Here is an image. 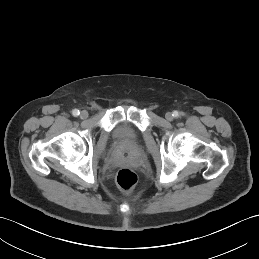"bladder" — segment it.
Listing matches in <instances>:
<instances>
[{"label":"bladder","instance_id":"obj_1","mask_svg":"<svg viewBox=\"0 0 259 259\" xmlns=\"http://www.w3.org/2000/svg\"><path fill=\"white\" fill-rule=\"evenodd\" d=\"M116 146L122 152H129L138 144L139 136L129 123L119 124L113 131Z\"/></svg>","mask_w":259,"mask_h":259}]
</instances>
